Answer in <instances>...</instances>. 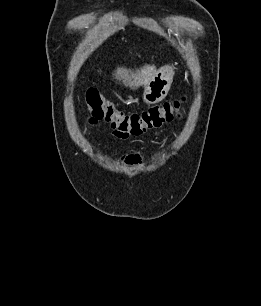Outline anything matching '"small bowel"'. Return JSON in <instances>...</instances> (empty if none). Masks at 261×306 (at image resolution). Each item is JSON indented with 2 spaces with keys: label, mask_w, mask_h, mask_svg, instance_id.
I'll list each match as a JSON object with an SVG mask.
<instances>
[{
  "label": "small bowel",
  "mask_w": 261,
  "mask_h": 306,
  "mask_svg": "<svg viewBox=\"0 0 261 306\" xmlns=\"http://www.w3.org/2000/svg\"><path fill=\"white\" fill-rule=\"evenodd\" d=\"M156 136H160V133H155ZM124 163L131 167V168H136L142 163V157L139 153H131L127 154L123 157Z\"/></svg>",
  "instance_id": "small-bowel-1"
}]
</instances>
